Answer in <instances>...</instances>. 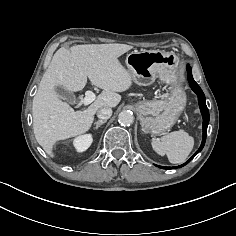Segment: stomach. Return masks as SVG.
<instances>
[{"label": "stomach", "mask_w": 236, "mask_h": 236, "mask_svg": "<svg viewBox=\"0 0 236 236\" xmlns=\"http://www.w3.org/2000/svg\"><path fill=\"white\" fill-rule=\"evenodd\" d=\"M125 63L138 85H150L157 77L171 85V93L166 99L136 104L142 130L152 134L164 133L174 125L186 105L185 92L178 84L175 56L159 50H134L127 55Z\"/></svg>", "instance_id": "0dacf381"}]
</instances>
